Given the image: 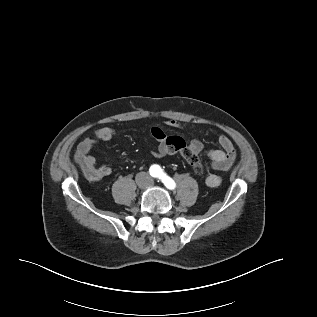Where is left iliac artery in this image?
Instances as JSON below:
<instances>
[{"label":"left iliac artery","mask_w":317,"mask_h":317,"mask_svg":"<svg viewBox=\"0 0 317 317\" xmlns=\"http://www.w3.org/2000/svg\"><path fill=\"white\" fill-rule=\"evenodd\" d=\"M159 179H161L164 185L169 189H174L176 187L174 180L162 171L159 173Z\"/></svg>","instance_id":"obj_1"}]
</instances>
